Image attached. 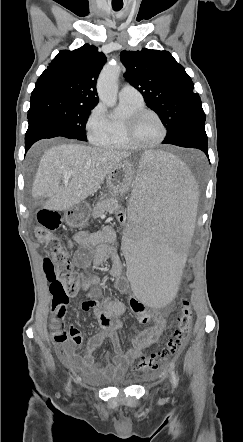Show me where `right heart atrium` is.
Returning a JSON list of instances; mask_svg holds the SVG:
<instances>
[{
  "label": "right heart atrium",
  "mask_w": 243,
  "mask_h": 442,
  "mask_svg": "<svg viewBox=\"0 0 243 442\" xmlns=\"http://www.w3.org/2000/svg\"><path fill=\"white\" fill-rule=\"evenodd\" d=\"M106 126V116L103 107L96 104L89 112L85 129L88 138L93 141L99 134H101Z\"/></svg>",
  "instance_id": "obj_1"
}]
</instances>
